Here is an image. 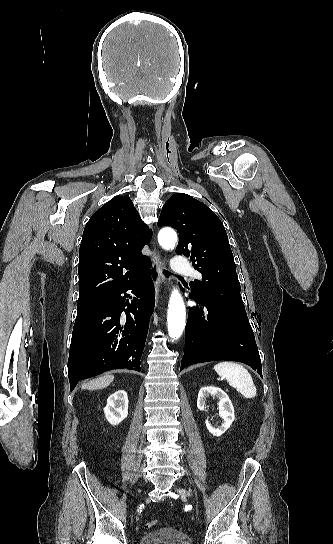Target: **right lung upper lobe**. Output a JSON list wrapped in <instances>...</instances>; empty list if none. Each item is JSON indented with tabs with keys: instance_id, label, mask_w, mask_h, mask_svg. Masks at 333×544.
I'll list each match as a JSON object with an SVG mask.
<instances>
[{
	"instance_id": "obj_1",
	"label": "right lung upper lobe",
	"mask_w": 333,
	"mask_h": 544,
	"mask_svg": "<svg viewBox=\"0 0 333 544\" xmlns=\"http://www.w3.org/2000/svg\"><path fill=\"white\" fill-rule=\"evenodd\" d=\"M152 232L129 197H115L85 226L79 252V299L112 296L150 267L141 253Z\"/></svg>"
}]
</instances>
